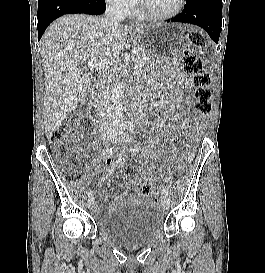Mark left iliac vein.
I'll use <instances>...</instances> for the list:
<instances>
[{"label": "left iliac vein", "instance_id": "1", "mask_svg": "<svg viewBox=\"0 0 265 273\" xmlns=\"http://www.w3.org/2000/svg\"><path fill=\"white\" fill-rule=\"evenodd\" d=\"M124 138H126V140H128L129 142L132 141V138L129 134L124 133ZM124 138L123 139H119L118 142L119 143H123L124 142ZM162 206L164 208V210H168L170 208V200L167 196H164L162 198Z\"/></svg>", "mask_w": 265, "mask_h": 273}]
</instances>
